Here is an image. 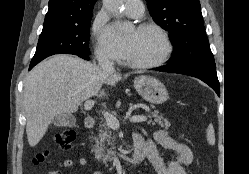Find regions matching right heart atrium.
I'll list each match as a JSON object with an SVG mask.
<instances>
[{"mask_svg":"<svg viewBox=\"0 0 249 174\" xmlns=\"http://www.w3.org/2000/svg\"><path fill=\"white\" fill-rule=\"evenodd\" d=\"M104 31H105V23L101 19L96 20L93 26V32L95 36L100 37L104 33ZM95 53H96L97 59L100 62L108 63V62H111L113 59L108 48L101 42H98L96 44Z\"/></svg>","mask_w":249,"mask_h":174,"instance_id":"d8ad5b80","label":"right heart atrium"}]
</instances>
